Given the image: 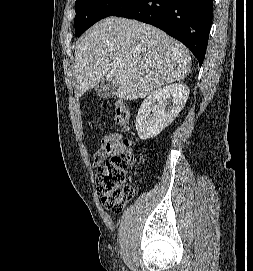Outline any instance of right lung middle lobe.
<instances>
[{"mask_svg":"<svg viewBox=\"0 0 253 271\" xmlns=\"http://www.w3.org/2000/svg\"><path fill=\"white\" fill-rule=\"evenodd\" d=\"M128 0H76L75 35H81L97 21L111 16Z\"/></svg>","mask_w":253,"mask_h":271,"instance_id":"1","label":"right lung middle lobe"}]
</instances>
